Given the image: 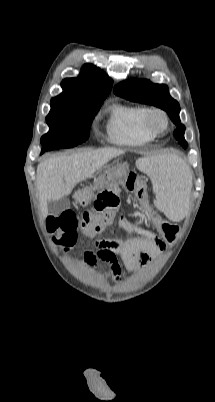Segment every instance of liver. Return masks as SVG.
<instances>
[{
  "instance_id": "6515ba94",
  "label": "liver",
  "mask_w": 215,
  "mask_h": 402,
  "mask_svg": "<svg viewBox=\"0 0 215 402\" xmlns=\"http://www.w3.org/2000/svg\"><path fill=\"white\" fill-rule=\"evenodd\" d=\"M123 153L120 149L104 148L54 156L41 162L37 167L36 186L43 216H47L48 201L70 194L78 183Z\"/></svg>"
}]
</instances>
